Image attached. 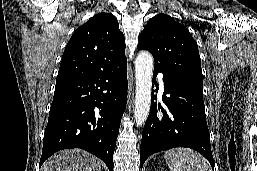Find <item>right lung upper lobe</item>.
<instances>
[{"label": "right lung upper lobe", "mask_w": 257, "mask_h": 171, "mask_svg": "<svg viewBox=\"0 0 257 171\" xmlns=\"http://www.w3.org/2000/svg\"><path fill=\"white\" fill-rule=\"evenodd\" d=\"M125 47L117 18L108 13L96 14L68 41L56 82L85 78L127 63Z\"/></svg>", "instance_id": "obj_1"}]
</instances>
